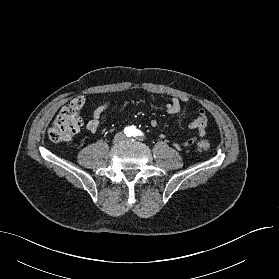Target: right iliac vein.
I'll return each instance as SVG.
<instances>
[{"label": "right iliac vein", "instance_id": "1", "mask_svg": "<svg viewBox=\"0 0 279 279\" xmlns=\"http://www.w3.org/2000/svg\"><path fill=\"white\" fill-rule=\"evenodd\" d=\"M122 138L123 137L121 135L116 136L114 139V143H119L122 140Z\"/></svg>", "mask_w": 279, "mask_h": 279}]
</instances>
